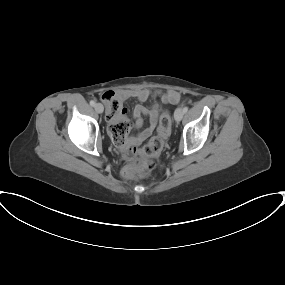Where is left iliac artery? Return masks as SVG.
<instances>
[{
  "mask_svg": "<svg viewBox=\"0 0 285 285\" xmlns=\"http://www.w3.org/2000/svg\"><path fill=\"white\" fill-rule=\"evenodd\" d=\"M187 111H188V107L187 106L183 107V112L186 113Z\"/></svg>",
  "mask_w": 285,
  "mask_h": 285,
  "instance_id": "44dca946",
  "label": "left iliac artery"
}]
</instances>
